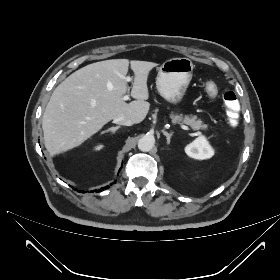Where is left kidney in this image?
<instances>
[{"instance_id": "1", "label": "left kidney", "mask_w": 280, "mask_h": 280, "mask_svg": "<svg viewBox=\"0 0 280 280\" xmlns=\"http://www.w3.org/2000/svg\"><path fill=\"white\" fill-rule=\"evenodd\" d=\"M185 153L194 159H209L214 155V150L204 136H199L185 147Z\"/></svg>"}]
</instances>
